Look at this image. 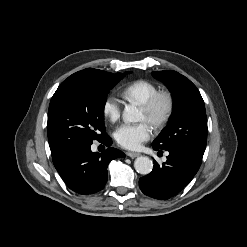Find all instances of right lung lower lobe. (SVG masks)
I'll return each mask as SVG.
<instances>
[{"instance_id":"right-lung-lower-lobe-1","label":"right lung lower lobe","mask_w":247,"mask_h":247,"mask_svg":"<svg viewBox=\"0 0 247 247\" xmlns=\"http://www.w3.org/2000/svg\"><path fill=\"white\" fill-rule=\"evenodd\" d=\"M100 142L109 147L101 154L92 152L91 144H79L52 155L56 170L73 191L93 194L103 189L108 179L109 162L125 157L123 152L110 147L112 140L109 136L105 135Z\"/></svg>"}]
</instances>
